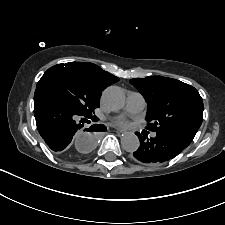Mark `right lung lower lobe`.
I'll return each mask as SVG.
<instances>
[{
	"label": "right lung lower lobe",
	"mask_w": 225,
	"mask_h": 225,
	"mask_svg": "<svg viewBox=\"0 0 225 225\" xmlns=\"http://www.w3.org/2000/svg\"><path fill=\"white\" fill-rule=\"evenodd\" d=\"M34 115L38 132L44 139L49 148L59 154L67 153L72 140L87 119L97 121L98 118L86 117L81 115L74 108L43 90H36L34 94ZM78 119L80 121L78 122ZM106 129L103 125H92L84 131L96 132ZM90 140L88 150L93 146L96 136L95 133H86ZM87 150V151H88ZM68 159H75L77 156L73 153L65 155Z\"/></svg>",
	"instance_id": "98d812e1"
}]
</instances>
